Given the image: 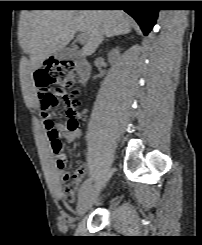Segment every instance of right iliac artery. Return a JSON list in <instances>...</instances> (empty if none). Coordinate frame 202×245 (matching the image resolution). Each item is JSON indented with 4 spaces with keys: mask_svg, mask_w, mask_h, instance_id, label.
Instances as JSON below:
<instances>
[{
    "mask_svg": "<svg viewBox=\"0 0 202 245\" xmlns=\"http://www.w3.org/2000/svg\"><path fill=\"white\" fill-rule=\"evenodd\" d=\"M91 183H92V178L91 177L87 178L83 182V184H82V186H81V188L79 190V196H81L88 188H90Z\"/></svg>",
    "mask_w": 202,
    "mask_h": 245,
    "instance_id": "1",
    "label": "right iliac artery"
}]
</instances>
